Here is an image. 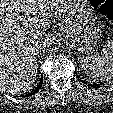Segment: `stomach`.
I'll use <instances>...</instances> for the list:
<instances>
[{
	"label": "stomach",
	"instance_id": "stomach-1",
	"mask_svg": "<svg viewBox=\"0 0 113 113\" xmlns=\"http://www.w3.org/2000/svg\"><path fill=\"white\" fill-rule=\"evenodd\" d=\"M61 31L68 35L79 52H89L100 39L103 25L88 0H66Z\"/></svg>",
	"mask_w": 113,
	"mask_h": 113
}]
</instances>
